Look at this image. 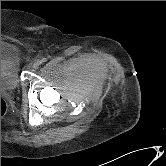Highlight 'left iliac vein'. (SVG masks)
<instances>
[{
    "instance_id": "left-iliac-vein-1",
    "label": "left iliac vein",
    "mask_w": 166,
    "mask_h": 166,
    "mask_svg": "<svg viewBox=\"0 0 166 166\" xmlns=\"http://www.w3.org/2000/svg\"><path fill=\"white\" fill-rule=\"evenodd\" d=\"M39 66H40V61L34 62V64H33V68H34V69H38Z\"/></svg>"
}]
</instances>
